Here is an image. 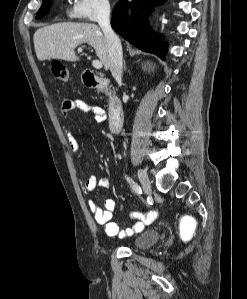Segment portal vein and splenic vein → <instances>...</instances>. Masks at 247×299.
Here are the masks:
<instances>
[{
	"label": "portal vein and splenic vein",
	"mask_w": 247,
	"mask_h": 299,
	"mask_svg": "<svg viewBox=\"0 0 247 299\" xmlns=\"http://www.w3.org/2000/svg\"><path fill=\"white\" fill-rule=\"evenodd\" d=\"M78 51L81 52L82 48H78ZM92 65L95 69H101L102 68V62L99 60H93Z\"/></svg>",
	"instance_id": "18ae733b"
}]
</instances>
